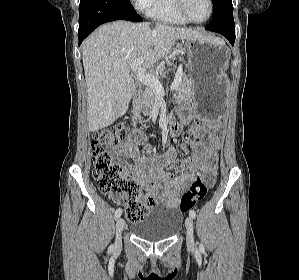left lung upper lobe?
Here are the masks:
<instances>
[{"label":"left lung upper lobe","mask_w":299,"mask_h":280,"mask_svg":"<svg viewBox=\"0 0 299 280\" xmlns=\"http://www.w3.org/2000/svg\"><path fill=\"white\" fill-rule=\"evenodd\" d=\"M217 1H218V0H212L213 6L215 5V3H216Z\"/></svg>","instance_id":"1"}]
</instances>
